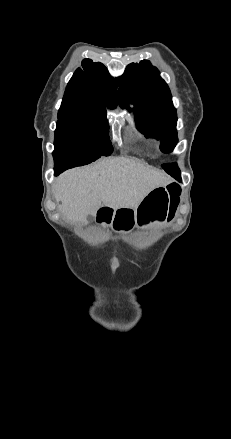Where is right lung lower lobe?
Listing matches in <instances>:
<instances>
[{
  "label": "right lung lower lobe",
  "mask_w": 231,
  "mask_h": 439,
  "mask_svg": "<svg viewBox=\"0 0 231 439\" xmlns=\"http://www.w3.org/2000/svg\"><path fill=\"white\" fill-rule=\"evenodd\" d=\"M66 169L67 168L65 166H61V167L55 166V175L60 174L62 171L66 170Z\"/></svg>",
  "instance_id": "1"
}]
</instances>
